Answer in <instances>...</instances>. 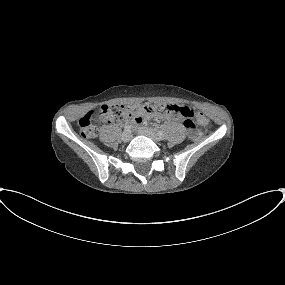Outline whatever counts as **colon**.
<instances>
[{
  "label": "colon",
  "instance_id": "1",
  "mask_svg": "<svg viewBox=\"0 0 285 285\" xmlns=\"http://www.w3.org/2000/svg\"><path fill=\"white\" fill-rule=\"evenodd\" d=\"M162 104H138L134 107H126L116 104H105L97 109L87 111L79 119L80 134L83 138H92L97 133L96 125L99 123L121 122L127 119L142 117L145 114H155L162 111ZM173 111L181 110L187 116L184 124L190 137L197 138L200 133L198 125H207V118L201 113H195L186 107H171Z\"/></svg>",
  "mask_w": 285,
  "mask_h": 285
}]
</instances>
